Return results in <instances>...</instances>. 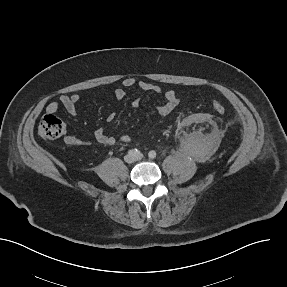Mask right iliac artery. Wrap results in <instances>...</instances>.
<instances>
[{
	"label": "right iliac artery",
	"mask_w": 287,
	"mask_h": 287,
	"mask_svg": "<svg viewBox=\"0 0 287 287\" xmlns=\"http://www.w3.org/2000/svg\"><path fill=\"white\" fill-rule=\"evenodd\" d=\"M128 154L132 156H139L141 155V152L138 149H131L128 151Z\"/></svg>",
	"instance_id": "obj_1"
}]
</instances>
